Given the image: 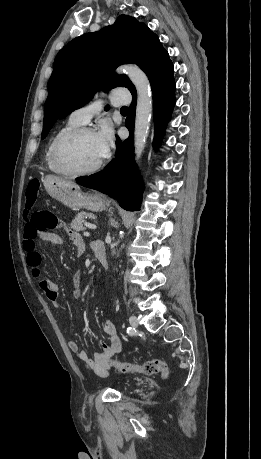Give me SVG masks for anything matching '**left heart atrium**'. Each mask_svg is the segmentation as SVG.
Here are the masks:
<instances>
[{"label": "left heart atrium", "mask_w": 261, "mask_h": 459, "mask_svg": "<svg viewBox=\"0 0 261 459\" xmlns=\"http://www.w3.org/2000/svg\"><path fill=\"white\" fill-rule=\"evenodd\" d=\"M95 136L101 150L102 158L107 157L114 144V134L112 128L108 124H104L98 132L95 133Z\"/></svg>", "instance_id": "obj_1"}]
</instances>
